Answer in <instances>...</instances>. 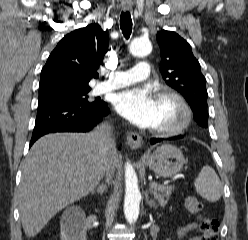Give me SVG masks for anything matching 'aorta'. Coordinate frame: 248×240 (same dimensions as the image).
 <instances>
[{
  "label": "aorta",
  "mask_w": 248,
  "mask_h": 240,
  "mask_svg": "<svg viewBox=\"0 0 248 240\" xmlns=\"http://www.w3.org/2000/svg\"><path fill=\"white\" fill-rule=\"evenodd\" d=\"M152 45L149 40L134 39L129 45V52L135 57H144L150 54ZM141 193L138 186V178L130 162L125 165V199L124 214L127 221L132 224L139 217Z\"/></svg>",
  "instance_id": "aorta-1"
}]
</instances>
